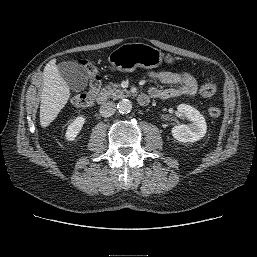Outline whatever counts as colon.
Wrapping results in <instances>:
<instances>
[{
  "label": "colon",
  "instance_id": "1",
  "mask_svg": "<svg viewBox=\"0 0 257 257\" xmlns=\"http://www.w3.org/2000/svg\"><path fill=\"white\" fill-rule=\"evenodd\" d=\"M86 70L89 76V85L87 90L78 93L72 97V103L77 107L87 108L93 104L94 98L101 88V81L94 66L85 63ZM217 91V86L214 82H205L200 88V92L205 97L213 96ZM209 115L213 118L220 116L221 110L219 107L212 106L208 110Z\"/></svg>",
  "mask_w": 257,
  "mask_h": 257
}]
</instances>
